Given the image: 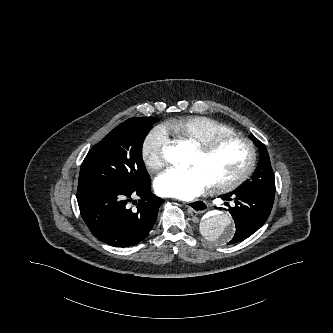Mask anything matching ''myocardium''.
Segmentation results:
<instances>
[{
	"label": "myocardium",
	"instance_id": "1",
	"mask_svg": "<svg viewBox=\"0 0 333 333\" xmlns=\"http://www.w3.org/2000/svg\"><path fill=\"white\" fill-rule=\"evenodd\" d=\"M231 141H238L246 145L249 151V160L245 167V169L239 173L237 176L224 180V181H216L211 183L212 187L218 191H228L237 188L242 185L253 173L256 162H257V150L254 143L247 137L239 134H227L218 136L209 141H206L201 144H197V150L204 156H208L215 152L218 148H220L225 143Z\"/></svg>",
	"mask_w": 333,
	"mask_h": 333
}]
</instances>
